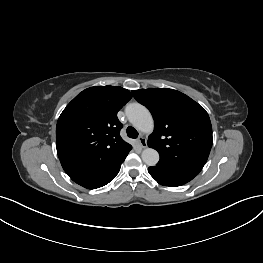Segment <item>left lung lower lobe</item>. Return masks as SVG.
Masks as SVG:
<instances>
[{"label": "left lung lower lobe", "instance_id": "0a47b994", "mask_svg": "<svg viewBox=\"0 0 263 263\" xmlns=\"http://www.w3.org/2000/svg\"><path fill=\"white\" fill-rule=\"evenodd\" d=\"M149 174L161 185L164 186H181L194 177L186 174L172 172L159 166L149 167Z\"/></svg>", "mask_w": 263, "mask_h": 263}]
</instances>
